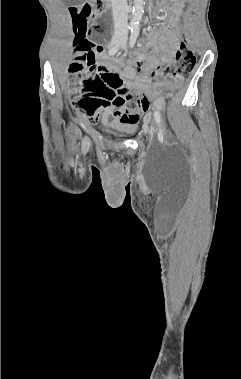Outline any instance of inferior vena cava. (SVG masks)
I'll return each instance as SVG.
<instances>
[{
	"mask_svg": "<svg viewBox=\"0 0 241 379\" xmlns=\"http://www.w3.org/2000/svg\"><path fill=\"white\" fill-rule=\"evenodd\" d=\"M114 20V37L127 38L128 5L127 0H111Z\"/></svg>",
	"mask_w": 241,
	"mask_h": 379,
	"instance_id": "obj_1",
	"label": "inferior vena cava"
}]
</instances>
